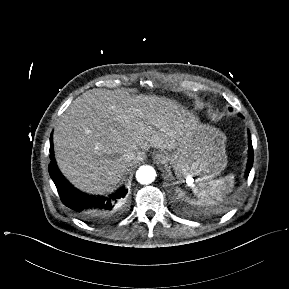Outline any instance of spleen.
I'll use <instances>...</instances> for the list:
<instances>
[{
    "label": "spleen",
    "instance_id": "1",
    "mask_svg": "<svg viewBox=\"0 0 289 289\" xmlns=\"http://www.w3.org/2000/svg\"><path fill=\"white\" fill-rule=\"evenodd\" d=\"M198 184L193 186V192L201 201L213 203L215 200L222 201L224 196L231 192L234 187V175L229 174L215 180L197 179Z\"/></svg>",
    "mask_w": 289,
    "mask_h": 289
}]
</instances>
